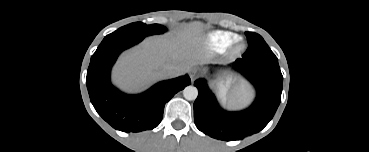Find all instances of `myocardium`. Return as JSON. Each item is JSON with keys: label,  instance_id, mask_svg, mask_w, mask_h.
Listing matches in <instances>:
<instances>
[{"label": "myocardium", "instance_id": "obj_1", "mask_svg": "<svg viewBox=\"0 0 369 152\" xmlns=\"http://www.w3.org/2000/svg\"><path fill=\"white\" fill-rule=\"evenodd\" d=\"M246 49V44L243 41L237 40L232 48L234 54H240Z\"/></svg>", "mask_w": 369, "mask_h": 152}]
</instances>
